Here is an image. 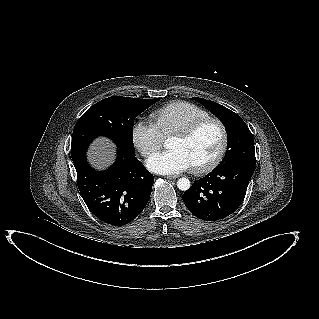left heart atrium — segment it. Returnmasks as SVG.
Masks as SVG:
<instances>
[{"label":"left heart atrium","instance_id":"obj_1","mask_svg":"<svg viewBox=\"0 0 319 319\" xmlns=\"http://www.w3.org/2000/svg\"><path fill=\"white\" fill-rule=\"evenodd\" d=\"M149 170L159 174L180 173L191 167L187 157L177 149L152 155L146 163Z\"/></svg>","mask_w":319,"mask_h":319}]
</instances>
